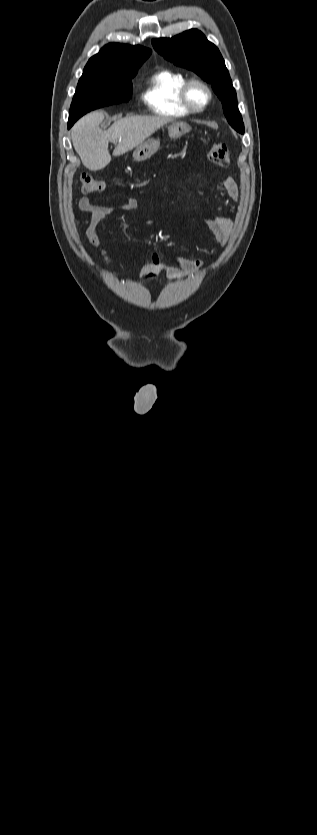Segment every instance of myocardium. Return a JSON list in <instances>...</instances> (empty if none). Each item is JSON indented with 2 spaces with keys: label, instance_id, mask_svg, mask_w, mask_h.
Returning <instances> with one entry per match:
<instances>
[{
  "label": "myocardium",
  "instance_id": "obj_1",
  "mask_svg": "<svg viewBox=\"0 0 317 835\" xmlns=\"http://www.w3.org/2000/svg\"><path fill=\"white\" fill-rule=\"evenodd\" d=\"M194 85L201 86L207 93V99H206L205 103L202 104L201 106L195 105L190 98V91H191V88ZM212 97H213V93H212V89H211L210 85L206 81H204L200 78L187 79L186 82L184 83V85L182 86L181 91H180V98H181V101H182L183 105L190 112H193V113L203 112L209 106V104L211 103Z\"/></svg>",
  "mask_w": 317,
  "mask_h": 835
}]
</instances>
